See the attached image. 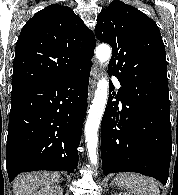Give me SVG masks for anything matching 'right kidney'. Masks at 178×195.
I'll list each match as a JSON object with an SVG mask.
<instances>
[{"mask_svg":"<svg viewBox=\"0 0 178 195\" xmlns=\"http://www.w3.org/2000/svg\"><path fill=\"white\" fill-rule=\"evenodd\" d=\"M33 195H63V190L58 185L44 186Z\"/></svg>","mask_w":178,"mask_h":195,"instance_id":"obj_1","label":"right kidney"}]
</instances>
